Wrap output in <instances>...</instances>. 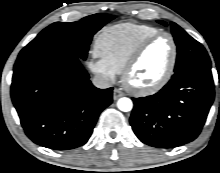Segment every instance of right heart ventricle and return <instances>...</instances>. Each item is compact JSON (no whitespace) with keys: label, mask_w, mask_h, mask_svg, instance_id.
<instances>
[{"label":"right heart ventricle","mask_w":220,"mask_h":173,"mask_svg":"<svg viewBox=\"0 0 220 173\" xmlns=\"http://www.w3.org/2000/svg\"><path fill=\"white\" fill-rule=\"evenodd\" d=\"M159 29L137 23H121L103 29L96 38L95 51L100 59L117 74L123 68L137 45Z\"/></svg>","instance_id":"1"}]
</instances>
